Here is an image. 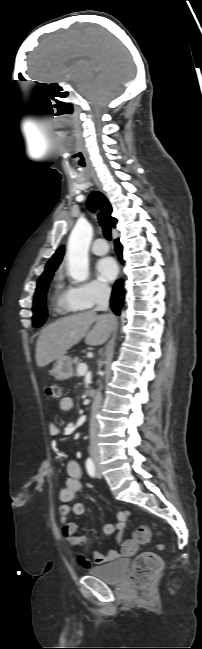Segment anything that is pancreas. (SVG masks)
<instances>
[{
	"label": "pancreas",
	"instance_id": "cf45deb5",
	"mask_svg": "<svg viewBox=\"0 0 202 649\" xmlns=\"http://www.w3.org/2000/svg\"><path fill=\"white\" fill-rule=\"evenodd\" d=\"M80 364H82V363H80L78 361L76 362V373H75L76 376H80V374L78 373V367H79Z\"/></svg>",
	"mask_w": 202,
	"mask_h": 649
}]
</instances>
